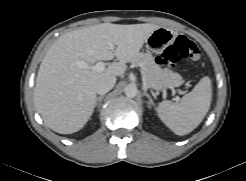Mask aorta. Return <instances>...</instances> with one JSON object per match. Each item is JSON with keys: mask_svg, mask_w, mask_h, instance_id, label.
<instances>
[{"mask_svg": "<svg viewBox=\"0 0 246 181\" xmlns=\"http://www.w3.org/2000/svg\"><path fill=\"white\" fill-rule=\"evenodd\" d=\"M124 93L127 97L134 98L137 96L138 89L135 85L130 84L125 87Z\"/></svg>", "mask_w": 246, "mask_h": 181, "instance_id": "762f6f07", "label": "aorta"}]
</instances>
